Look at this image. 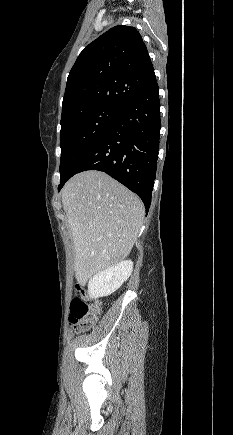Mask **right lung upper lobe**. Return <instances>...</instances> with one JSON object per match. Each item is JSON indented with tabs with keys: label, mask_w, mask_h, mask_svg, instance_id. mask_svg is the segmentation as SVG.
<instances>
[{
	"label": "right lung upper lobe",
	"mask_w": 233,
	"mask_h": 435,
	"mask_svg": "<svg viewBox=\"0 0 233 435\" xmlns=\"http://www.w3.org/2000/svg\"><path fill=\"white\" fill-rule=\"evenodd\" d=\"M154 79L140 33L115 26L78 56L67 78L61 122L97 107L121 109Z\"/></svg>",
	"instance_id": "cb5924a9"
}]
</instances>
